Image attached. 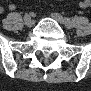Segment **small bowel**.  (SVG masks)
<instances>
[{
  "mask_svg": "<svg viewBox=\"0 0 91 91\" xmlns=\"http://www.w3.org/2000/svg\"><path fill=\"white\" fill-rule=\"evenodd\" d=\"M91 6V2L89 0H83L81 3H80V7L81 8H89ZM12 9H14L15 7L14 6H11Z\"/></svg>",
  "mask_w": 91,
  "mask_h": 91,
  "instance_id": "1",
  "label": "small bowel"
}]
</instances>
